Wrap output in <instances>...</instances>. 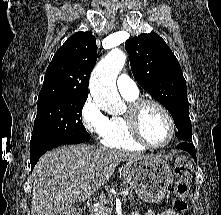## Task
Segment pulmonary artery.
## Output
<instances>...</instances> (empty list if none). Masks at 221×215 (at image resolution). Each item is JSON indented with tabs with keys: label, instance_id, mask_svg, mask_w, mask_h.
<instances>
[{
	"label": "pulmonary artery",
	"instance_id": "e3ab8cb5",
	"mask_svg": "<svg viewBox=\"0 0 221 215\" xmlns=\"http://www.w3.org/2000/svg\"><path fill=\"white\" fill-rule=\"evenodd\" d=\"M117 88L122 95H137V84L129 76L122 74L117 78Z\"/></svg>",
	"mask_w": 221,
	"mask_h": 215
}]
</instances>
